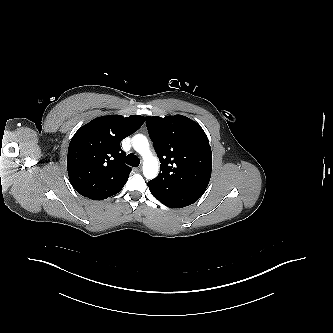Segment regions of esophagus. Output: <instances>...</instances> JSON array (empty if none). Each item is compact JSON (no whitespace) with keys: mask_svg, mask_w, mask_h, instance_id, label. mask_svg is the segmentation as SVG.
Returning <instances> with one entry per match:
<instances>
[{"mask_svg":"<svg viewBox=\"0 0 333 333\" xmlns=\"http://www.w3.org/2000/svg\"><path fill=\"white\" fill-rule=\"evenodd\" d=\"M135 172H141L142 171V168L139 166L137 168L134 169Z\"/></svg>","mask_w":333,"mask_h":333,"instance_id":"1","label":"esophagus"}]
</instances>
